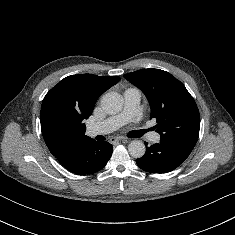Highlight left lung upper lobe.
<instances>
[{
  "label": "left lung upper lobe",
  "mask_w": 235,
  "mask_h": 235,
  "mask_svg": "<svg viewBox=\"0 0 235 235\" xmlns=\"http://www.w3.org/2000/svg\"><path fill=\"white\" fill-rule=\"evenodd\" d=\"M147 97L151 118L160 138L195 146L200 129L198 107L185 86L170 73L160 69H140L124 75Z\"/></svg>",
  "instance_id": "obj_1"
}]
</instances>
